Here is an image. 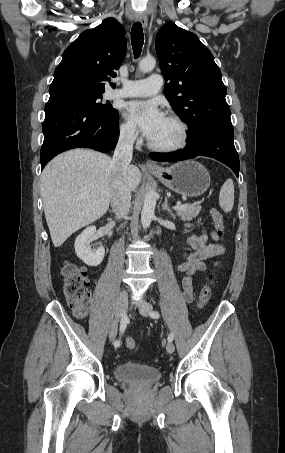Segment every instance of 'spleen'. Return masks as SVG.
<instances>
[{
	"instance_id": "spleen-1",
	"label": "spleen",
	"mask_w": 285,
	"mask_h": 453,
	"mask_svg": "<svg viewBox=\"0 0 285 453\" xmlns=\"http://www.w3.org/2000/svg\"><path fill=\"white\" fill-rule=\"evenodd\" d=\"M234 205V184L232 179H227L220 189L219 206L224 212H230Z\"/></svg>"
}]
</instances>
